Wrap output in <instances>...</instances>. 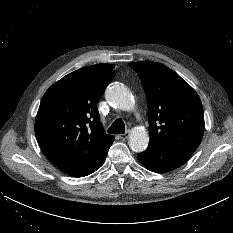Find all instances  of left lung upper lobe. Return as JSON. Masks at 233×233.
<instances>
[{"mask_svg":"<svg viewBox=\"0 0 233 233\" xmlns=\"http://www.w3.org/2000/svg\"><path fill=\"white\" fill-rule=\"evenodd\" d=\"M139 75L148 102L149 145L193 153L204 133L202 103L195 90L167 66L129 63Z\"/></svg>","mask_w":233,"mask_h":233,"instance_id":"5c2ea615","label":"left lung upper lobe"}]
</instances>
